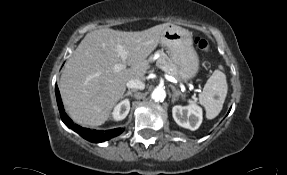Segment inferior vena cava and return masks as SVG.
<instances>
[{
    "instance_id": "inferior-vena-cava-1",
    "label": "inferior vena cava",
    "mask_w": 287,
    "mask_h": 175,
    "mask_svg": "<svg viewBox=\"0 0 287 175\" xmlns=\"http://www.w3.org/2000/svg\"><path fill=\"white\" fill-rule=\"evenodd\" d=\"M126 86L128 88H133V89H140V90H143L145 88V84L139 80V79H132V80H129L126 84Z\"/></svg>"
}]
</instances>
